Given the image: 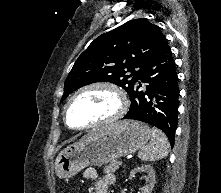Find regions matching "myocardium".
I'll list each match as a JSON object with an SVG mask.
<instances>
[{
    "mask_svg": "<svg viewBox=\"0 0 221 193\" xmlns=\"http://www.w3.org/2000/svg\"><path fill=\"white\" fill-rule=\"evenodd\" d=\"M94 89H105L109 92H111L116 100H117V107L115 109V111L110 114L109 116H106L105 118H102L100 120H97L89 125L86 126H82V127H73L69 124L68 122V109L69 106L71 105V103L75 100L76 97H78L80 94L89 91V90H94ZM127 107H128V101L126 98V95L124 93V91L117 86L116 84L109 82V81H95V82H91L88 84H85L81 87H79L77 90H75L72 95L68 98V100L66 101L64 108H63V120L65 125L72 130L75 131H89L101 126H105V125H109V124H113L115 122H117L118 120H120L124 114L127 111Z\"/></svg>",
    "mask_w": 221,
    "mask_h": 193,
    "instance_id": "f54148a6",
    "label": "myocardium"
}]
</instances>
